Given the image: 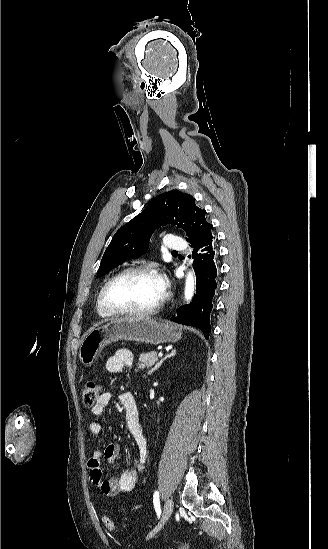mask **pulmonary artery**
<instances>
[{
	"label": "pulmonary artery",
	"instance_id": "e3ab8cb5",
	"mask_svg": "<svg viewBox=\"0 0 328 549\" xmlns=\"http://www.w3.org/2000/svg\"><path fill=\"white\" fill-rule=\"evenodd\" d=\"M163 247L166 252H182L185 246L182 241H176L174 237H167Z\"/></svg>",
	"mask_w": 328,
	"mask_h": 549
}]
</instances>
